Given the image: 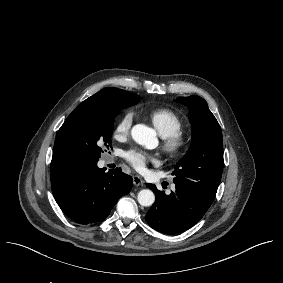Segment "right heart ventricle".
I'll use <instances>...</instances> for the list:
<instances>
[{"label": "right heart ventricle", "instance_id": "1", "mask_svg": "<svg viewBox=\"0 0 283 283\" xmlns=\"http://www.w3.org/2000/svg\"><path fill=\"white\" fill-rule=\"evenodd\" d=\"M147 118L157 133L166 138L181 129L183 122L179 115L169 109H156L147 114Z\"/></svg>", "mask_w": 283, "mask_h": 283}]
</instances>
